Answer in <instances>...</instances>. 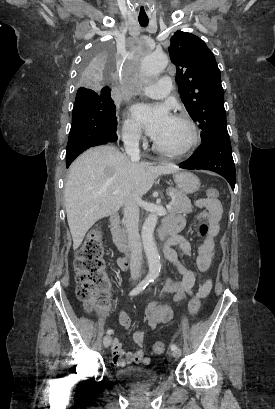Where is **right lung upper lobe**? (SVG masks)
I'll list each match as a JSON object with an SVG mask.
<instances>
[{
  "mask_svg": "<svg viewBox=\"0 0 275 409\" xmlns=\"http://www.w3.org/2000/svg\"><path fill=\"white\" fill-rule=\"evenodd\" d=\"M110 87L109 86H105L102 88V90H96V92L94 90H78L77 92H90V93H94L101 96H110Z\"/></svg>",
  "mask_w": 275,
  "mask_h": 409,
  "instance_id": "cb5924a9",
  "label": "right lung upper lobe"
}]
</instances>
